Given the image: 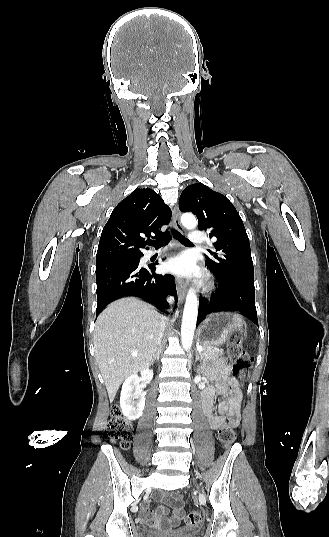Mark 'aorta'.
Here are the masks:
<instances>
[{"mask_svg":"<svg viewBox=\"0 0 329 537\" xmlns=\"http://www.w3.org/2000/svg\"><path fill=\"white\" fill-rule=\"evenodd\" d=\"M181 223L187 229H194L197 220L192 214H184L181 217ZM198 314V298L193 289H190L185 300L182 325H181V343L182 347L188 351L193 342L194 331L196 327Z\"/></svg>","mask_w":329,"mask_h":537,"instance_id":"aorta-1","label":"aorta"}]
</instances>
